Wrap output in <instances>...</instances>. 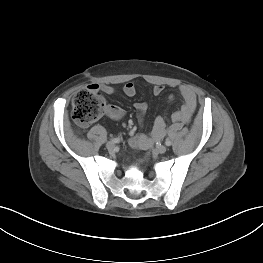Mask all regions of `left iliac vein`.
I'll list each match as a JSON object with an SVG mask.
<instances>
[{
	"mask_svg": "<svg viewBox=\"0 0 263 263\" xmlns=\"http://www.w3.org/2000/svg\"><path fill=\"white\" fill-rule=\"evenodd\" d=\"M156 151L160 154H163L167 151V147L165 145H159L156 147Z\"/></svg>",
	"mask_w": 263,
	"mask_h": 263,
	"instance_id": "4c4485c4",
	"label": "left iliac vein"
}]
</instances>
